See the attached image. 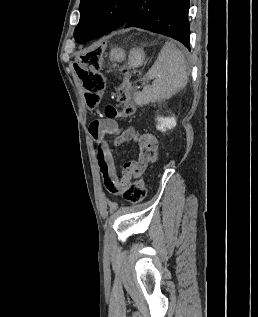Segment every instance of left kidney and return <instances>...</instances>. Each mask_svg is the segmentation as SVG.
Segmentation results:
<instances>
[{
  "label": "left kidney",
  "instance_id": "obj_1",
  "mask_svg": "<svg viewBox=\"0 0 258 317\" xmlns=\"http://www.w3.org/2000/svg\"><path fill=\"white\" fill-rule=\"evenodd\" d=\"M156 120H158L156 128L162 130V132H165L168 128H173L177 124L175 116H157Z\"/></svg>",
  "mask_w": 258,
  "mask_h": 317
}]
</instances>
